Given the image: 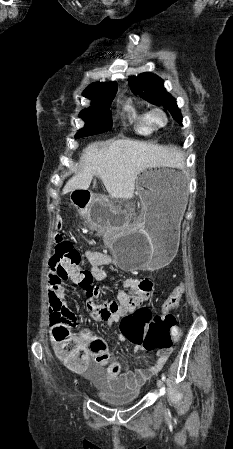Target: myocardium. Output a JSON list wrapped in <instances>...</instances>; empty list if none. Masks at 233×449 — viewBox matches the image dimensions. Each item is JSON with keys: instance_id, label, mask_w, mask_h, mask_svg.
Here are the masks:
<instances>
[{"instance_id": "1", "label": "myocardium", "mask_w": 233, "mask_h": 449, "mask_svg": "<svg viewBox=\"0 0 233 449\" xmlns=\"http://www.w3.org/2000/svg\"><path fill=\"white\" fill-rule=\"evenodd\" d=\"M151 122L157 127H164L169 122L168 113L160 106H155L149 110Z\"/></svg>"}]
</instances>
